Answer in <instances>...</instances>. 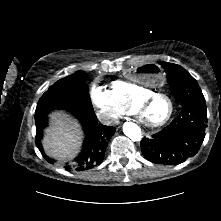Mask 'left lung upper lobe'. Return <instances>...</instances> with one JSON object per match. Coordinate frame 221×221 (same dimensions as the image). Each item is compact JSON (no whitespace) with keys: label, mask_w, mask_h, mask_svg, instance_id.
<instances>
[{"label":"left lung upper lobe","mask_w":221,"mask_h":221,"mask_svg":"<svg viewBox=\"0 0 221 221\" xmlns=\"http://www.w3.org/2000/svg\"><path fill=\"white\" fill-rule=\"evenodd\" d=\"M167 73V80L175 99L182 106L191 102L205 100L197 81L181 66L161 62Z\"/></svg>","instance_id":"left-lung-upper-lobe-1"}]
</instances>
